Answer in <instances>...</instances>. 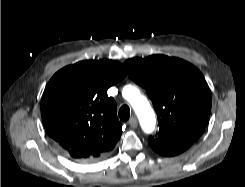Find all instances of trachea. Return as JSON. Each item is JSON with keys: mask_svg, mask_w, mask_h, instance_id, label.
Here are the masks:
<instances>
[{"mask_svg": "<svg viewBox=\"0 0 245 187\" xmlns=\"http://www.w3.org/2000/svg\"><path fill=\"white\" fill-rule=\"evenodd\" d=\"M130 117V108L127 105H123L119 109V118L123 121L128 120Z\"/></svg>", "mask_w": 245, "mask_h": 187, "instance_id": "3493384b", "label": "trachea"}]
</instances>
